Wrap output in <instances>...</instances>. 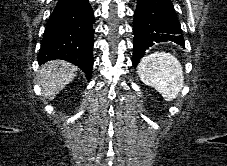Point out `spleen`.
I'll list each match as a JSON object with an SVG mask.
<instances>
[{"mask_svg": "<svg viewBox=\"0 0 227 166\" xmlns=\"http://www.w3.org/2000/svg\"><path fill=\"white\" fill-rule=\"evenodd\" d=\"M141 81L158 91L166 101H172L184 83L180 62L170 53L155 52L144 56L138 67Z\"/></svg>", "mask_w": 227, "mask_h": 166, "instance_id": "obj_1", "label": "spleen"}]
</instances>
